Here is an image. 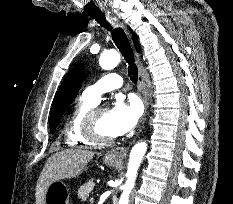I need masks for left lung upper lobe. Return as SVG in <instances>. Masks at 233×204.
<instances>
[{
  "instance_id": "obj_1",
  "label": "left lung upper lobe",
  "mask_w": 233,
  "mask_h": 204,
  "mask_svg": "<svg viewBox=\"0 0 233 204\" xmlns=\"http://www.w3.org/2000/svg\"><path fill=\"white\" fill-rule=\"evenodd\" d=\"M84 72L82 64L75 66L63 80L56 93L50 113V131L52 134L55 132L64 112L76 97L84 78Z\"/></svg>"
}]
</instances>
